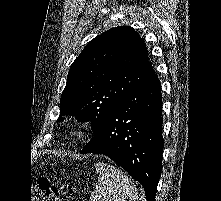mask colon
Segmentation results:
<instances>
[{"label":"colon","instance_id":"colon-1","mask_svg":"<svg viewBox=\"0 0 221 201\" xmlns=\"http://www.w3.org/2000/svg\"><path fill=\"white\" fill-rule=\"evenodd\" d=\"M31 195V201H61L59 188L47 178L38 180Z\"/></svg>","mask_w":221,"mask_h":201}]
</instances>
